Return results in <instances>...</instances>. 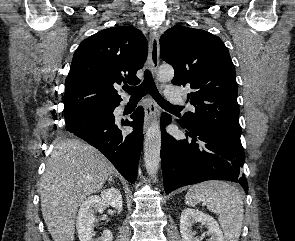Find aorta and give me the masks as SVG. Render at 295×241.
Wrapping results in <instances>:
<instances>
[{"label": "aorta", "mask_w": 295, "mask_h": 241, "mask_svg": "<svg viewBox=\"0 0 295 241\" xmlns=\"http://www.w3.org/2000/svg\"><path fill=\"white\" fill-rule=\"evenodd\" d=\"M158 80L170 81L174 77V69L170 65H161L157 72ZM161 130L158 121H154L147 129L144 141V162L147 173L155 177L160 164Z\"/></svg>", "instance_id": "1"}]
</instances>
